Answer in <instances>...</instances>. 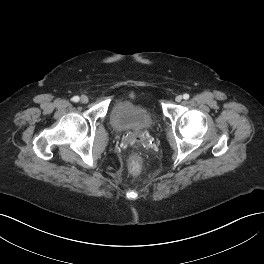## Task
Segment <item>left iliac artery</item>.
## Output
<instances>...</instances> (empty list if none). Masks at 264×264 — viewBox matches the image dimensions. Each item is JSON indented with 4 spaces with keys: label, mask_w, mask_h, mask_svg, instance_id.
Here are the masks:
<instances>
[{
    "label": "left iliac artery",
    "mask_w": 264,
    "mask_h": 264,
    "mask_svg": "<svg viewBox=\"0 0 264 264\" xmlns=\"http://www.w3.org/2000/svg\"><path fill=\"white\" fill-rule=\"evenodd\" d=\"M183 98H184L185 100L189 99V94L185 93V94L183 95Z\"/></svg>",
    "instance_id": "44dca946"
}]
</instances>
